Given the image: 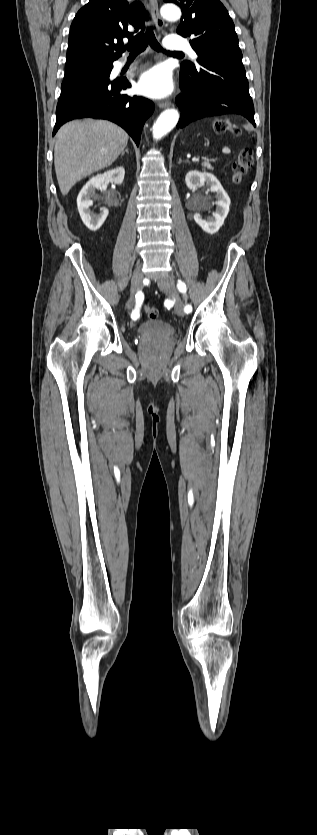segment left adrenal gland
Masks as SVG:
<instances>
[{
    "mask_svg": "<svg viewBox=\"0 0 317 835\" xmlns=\"http://www.w3.org/2000/svg\"><path fill=\"white\" fill-rule=\"evenodd\" d=\"M182 162L189 163V160L182 161L181 159H179V162H178V163H179V164H181Z\"/></svg>",
    "mask_w": 317,
    "mask_h": 835,
    "instance_id": "obj_1",
    "label": "left adrenal gland"
}]
</instances>
